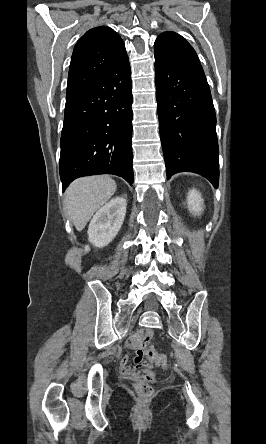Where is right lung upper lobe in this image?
<instances>
[{
    "mask_svg": "<svg viewBox=\"0 0 266 444\" xmlns=\"http://www.w3.org/2000/svg\"><path fill=\"white\" fill-rule=\"evenodd\" d=\"M127 57L125 44L113 29L99 26L88 30L74 47L66 100L90 88Z\"/></svg>",
    "mask_w": 266,
    "mask_h": 444,
    "instance_id": "right-lung-upper-lobe-1",
    "label": "right lung upper lobe"
}]
</instances>
